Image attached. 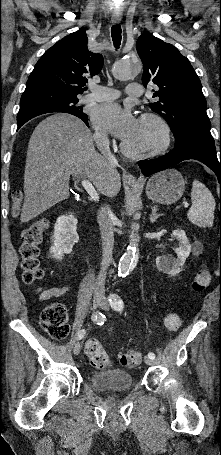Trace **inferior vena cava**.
<instances>
[{
  "mask_svg": "<svg viewBox=\"0 0 221 455\" xmlns=\"http://www.w3.org/2000/svg\"><path fill=\"white\" fill-rule=\"evenodd\" d=\"M97 143L101 148L104 158L111 165H117L115 156L111 153L108 140L105 136L97 137ZM113 212L109 205H105L99 212V226L102 239V262L98 276L97 288H104L106 271L112 263V251L114 246V230L112 224Z\"/></svg>",
  "mask_w": 221,
  "mask_h": 455,
  "instance_id": "obj_1",
  "label": "inferior vena cava"
}]
</instances>
